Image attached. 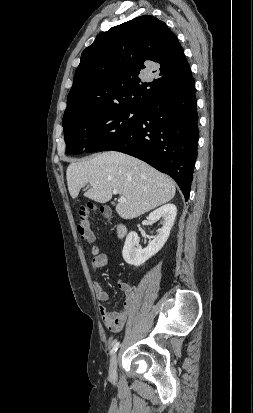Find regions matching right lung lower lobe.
Masks as SVG:
<instances>
[{
	"instance_id": "obj_1",
	"label": "right lung lower lobe",
	"mask_w": 253,
	"mask_h": 413,
	"mask_svg": "<svg viewBox=\"0 0 253 413\" xmlns=\"http://www.w3.org/2000/svg\"><path fill=\"white\" fill-rule=\"evenodd\" d=\"M140 112L139 123L101 151L132 155L168 174L187 200L199 139L193 77L181 89L146 102Z\"/></svg>"
}]
</instances>
